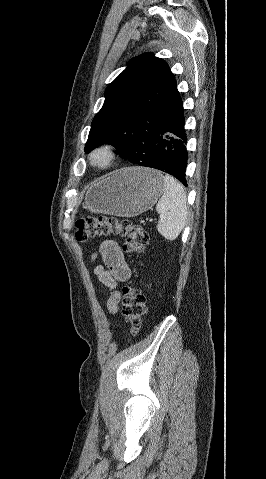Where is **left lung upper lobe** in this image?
Segmentation results:
<instances>
[{"instance_id": "5c2ea615", "label": "left lung upper lobe", "mask_w": 266, "mask_h": 479, "mask_svg": "<svg viewBox=\"0 0 266 479\" xmlns=\"http://www.w3.org/2000/svg\"><path fill=\"white\" fill-rule=\"evenodd\" d=\"M178 93L165 61L152 53L133 58L106 88V98L92 121L85 152L108 143L132 163L151 162L164 117Z\"/></svg>"}]
</instances>
